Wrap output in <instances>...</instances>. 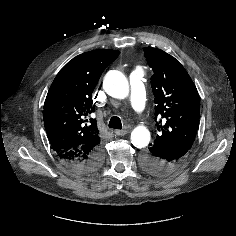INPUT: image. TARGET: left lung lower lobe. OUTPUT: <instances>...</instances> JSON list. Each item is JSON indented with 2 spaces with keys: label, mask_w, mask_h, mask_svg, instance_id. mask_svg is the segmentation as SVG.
<instances>
[{
  "label": "left lung lower lobe",
  "mask_w": 236,
  "mask_h": 236,
  "mask_svg": "<svg viewBox=\"0 0 236 236\" xmlns=\"http://www.w3.org/2000/svg\"><path fill=\"white\" fill-rule=\"evenodd\" d=\"M143 155L141 163L143 169L154 176H165L174 171L184 159L188 149L150 147Z\"/></svg>",
  "instance_id": "1"
}]
</instances>
